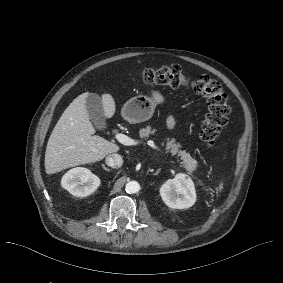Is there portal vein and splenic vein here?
Instances as JSON below:
<instances>
[{"label": "portal vein and splenic vein", "mask_w": 283, "mask_h": 283, "mask_svg": "<svg viewBox=\"0 0 283 283\" xmlns=\"http://www.w3.org/2000/svg\"><path fill=\"white\" fill-rule=\"evenodd\" d=\"M115 138L118 140V142L126 146H132L137 144L134 139L126 136L125 134L118 133L115 135ZM147 144L154 149L156 148V145L152 140L147 141Z\"/></svg>", "instance_id": "obj_1"}]
</instances>
